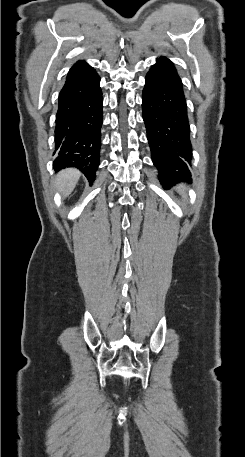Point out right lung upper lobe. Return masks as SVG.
Segmentation results:
<instances>
[{
	"label": "right lung upper lobe",
	"mask_w": 245,
	"mask_h": 457,
	"mask_svg": "<svg viewBox=\"0 0 245 457\" xmlns=\"http://www.w3.org/2000/svg\"><path fill=\"white\" fill-rule=\"evenodd\" d=\"M92 69L85 61H78L74 64V66L70 69L68 75L84 72L87 70Z\"/></svg>",
	"instance_id": "1"
}]
</instances>
